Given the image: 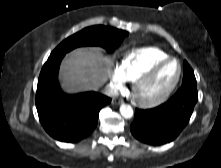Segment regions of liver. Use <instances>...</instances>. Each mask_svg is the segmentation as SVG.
Listing matches in <instances>:
<instances>
[{
    "label": "liver",
    "mask_w": 221,
    "mask_h": 168,
    "mask_svg": "<svg viewBox=\"0 0 221 168\" xmlns=\"http://www.w3.org/2000/svg\"><path fill=\"white\" fill-rule=\"evenodd\" d=\"M111 62L99 48L75 49L60 68L64 89L68 93L97 90L110 76Z\"/></svg>",
    "instance_id": "6515ba94"
}]
</instances>
